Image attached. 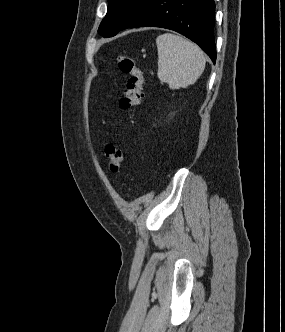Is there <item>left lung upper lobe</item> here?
Here are the masks:
<instances>
[{
	"label": "left lung upper lobe",
	"mask_w": 285,
	"mask_h": 332,
	"mask_svg": "<svg viewBox=\"0 0 285 332\" xmlns=\"http://www.w3.org/2000/svg\"><path fill=\"white\" fill-rule=\"evenodd\" d=\"M153 0H108L107 14L98 32L103 37L115 36L134 22Z\"/></svg>",
	"instance_id": "1"
}]
</instances>
